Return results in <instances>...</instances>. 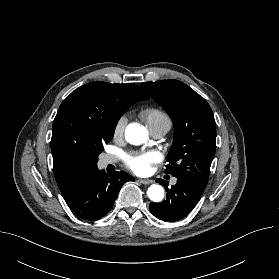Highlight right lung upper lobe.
<instances>
[{"label": "right lung upper lobe", "mask_w": 279, "mask_h": 279, "mask_svg": "<svg viewBox=\"0 0 279 279\" xmlns=\"http://www.w3.org/2000/svg\"><path fill=\"white\" fill-rule=\"evenodd\" d=\"M148 99L135 84L96 81L77 88L62 102L53 123L51 151L55 180L63 198L94 165L93 144L115 130L119 120L116 109Z\"/></svg>", "instance_id": "obj_1"}]
</instances>
